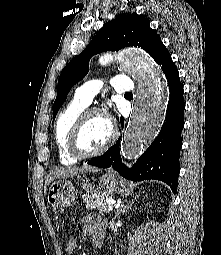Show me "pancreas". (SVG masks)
I'll use <instances>...</instances> for the list:
<instances>
[{"instance_id":"pancreas-1","label":"pancreas","mask_w":221,"mask_h":255,"mask_svg":"<svg viewBox=\"0 0 221 255\" xmlns=\"http://www.w3.org/2000/svg\"><path fill=\"white\" fill-rule=\"evenodd\" d=\"M111 198L112 194L108 192H95L91 195L85 196L83 201L86 208L89 210H97L101 213H109V204L106 202V200Z\"/></svg>"}]
</instances>
